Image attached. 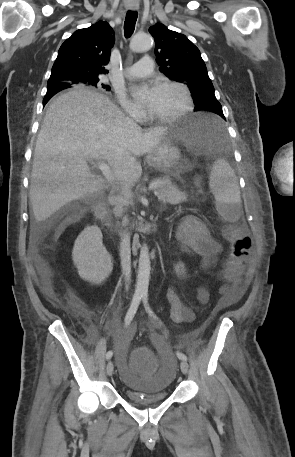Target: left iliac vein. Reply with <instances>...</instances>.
Returning <instances> with one entry per match:
<instances>
[{
	"label": "left iliac vein",
	"instance_id": "1",
	"mask_svg": "<svg viewBox=\"0 0 295 457\" xmlns=\"http://www.w3.org/2000/svg\"><path fill=\"white\" fill-rule=\"evenodd\" d=\"M180 368H181V371L183 374H187L188 373V364L185 360H181L180 362Z\"/></svg>",
	"mask_w": 295,
	"mask_h": 457
}]
</instances>
